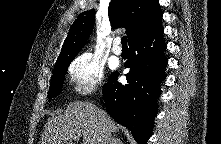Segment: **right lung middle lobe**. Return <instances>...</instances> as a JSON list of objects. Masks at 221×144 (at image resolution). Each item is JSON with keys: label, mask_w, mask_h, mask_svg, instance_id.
Masks as SVG:
<instances>
[{"label": "right lung middle lobe", "mask_w": 221, "mask_h": 144, "mask_svg": "<svg viewBox=\"0 0 221 144\" xmlns=\"http://www.w3.org/2000/svg\"><path fill=\"white\" fill-rule=\"evenodd\" d=\"M69 64L70 62L55 66L48 92V98L51 99L60 94Z\"/></svg>", "instance_id": "dd1d6c3e"}]
</instances>
